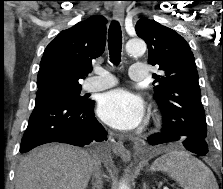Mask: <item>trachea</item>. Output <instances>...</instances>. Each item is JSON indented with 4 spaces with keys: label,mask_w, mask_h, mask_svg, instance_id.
Segmentation results:
<instances>
[{
    "label": "trachea",
    "mask_w": 223,
    "mask_h": 189,
    "mask_svg": "<svg viewBox=\"0 0 223 189\" xmlns=\"http://www.w3.org/2000/svg\"><path fill=\"white\" fill-rule=\"evenodd\" d=\"M108 48L110 61L114 65H119L121 61L122 32L119 23L116 21H113L109 27Z\"/></svg>",
    "instance_id": "obj_1"
}]
</instances>
